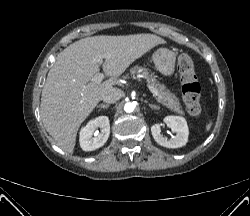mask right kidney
<instances>
[{
  "instance_id": "1",
  "label": "right kidney",
  "mask_w": 250,
  "mask_h": 216,
  "mask_svg": "<svg viewBox=\"0 0 250 216\" xmlns=\"http://www.w3.org/2000/svg\"><path fill=\"white\" fill-rule=\"evenodd\" d=\"M100 128L101 132L96 129ZM94 135V137H92ZM110 135V124L107 116H99L89 121L80 131V146L84 151H93L103 146Z\"/></svg>"
}]
</instances>
